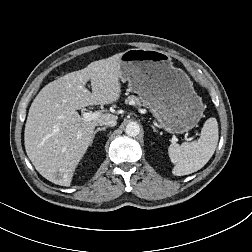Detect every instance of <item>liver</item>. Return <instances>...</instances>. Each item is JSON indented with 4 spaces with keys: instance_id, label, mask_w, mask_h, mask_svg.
Instances as JSON below:
<instances>
[{
    "instance_id": "liver-1",
    "label": "liver",
    "mask_w": 252,
    "mask_h": 252,
    "mask_svg": "<svg viewBox=\"0 0 252 252\" xmlns=\"http://www.w3.org/2000/svg\"><path fill=\"white\" fill-rule=\"evenodd\" d=\"M121 53L90 63L47 84L32 102L25 124L26 153L50 182L70 186L74 171L101 121L117 120L105 113L84 121L77 110L117 102L121 96ZM91 82L92 93L87 90Z\"/></svg>"
}]
</instances>
